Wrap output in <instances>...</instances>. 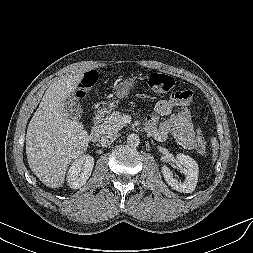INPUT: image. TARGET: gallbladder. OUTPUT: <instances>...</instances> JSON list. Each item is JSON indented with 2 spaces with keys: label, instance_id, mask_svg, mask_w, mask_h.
<instances>
[{
  "label": "gallbladder",
  "instance_id": "obj_1",
  "mask_svg": "<svg viewBox=\"0 0 253 253\" xmlns=\"http://www.w3.org/2000/svg\"><path fill=\"white\" fill-rule=\"evenodd\" d=\"M64 108L71 119L79 120L82 114V108L78 100L73 97L66 98L64 101Z\"/></svg>",
  "mask_w": 253,
  "mask_h": 253
}]
</instances>
